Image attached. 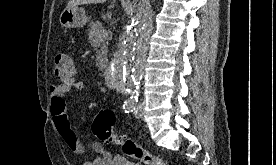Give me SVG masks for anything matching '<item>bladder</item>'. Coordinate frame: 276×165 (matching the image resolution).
I'll return each mask as SVG.
<instances>
[{"label":"bladder","instance_id":"31cf9c89","mask_svg":"<svg viewBox=\"0 0 276 165\" xmlns=\"http://www.w3.org/2000/svg\"><path fill=\"white\" fill-rule=\"evenodd\" d=\"M112 165H142V164L135 161H131L124 157H118Z\"/></svg>","mask_w":276,"mask_h":165}]
</instances>
